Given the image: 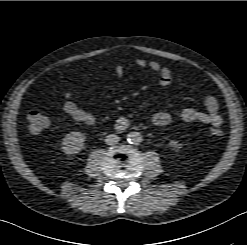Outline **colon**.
Here are the masks:
<instances>
[{"mask_svg": "<svg viewBox=\"0 0 247 245\" xmlns=\"http://www.w3.org/2000/svg\"><path fill=\"white\" fill-rule=\"evenodd\" d=\"M28 130L33 134H38L43 131L48 125V119L39 111H31L27 116ZM223 131L219 127L211 129V134L214 136L222 135Z\"/></svg>", "mask_w": 247, "mask_h": 245, "instance_id": "obj_1", "label": "colon"}]
</instances>
